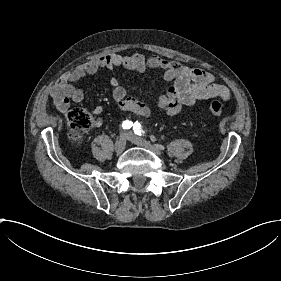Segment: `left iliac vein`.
<instances>
[{"instance_id": "left-iliac-vein-1", "label": "left iliac vein", "mask_w": 281, "mask_h": 281, "mask_svg": "<svg viewBox=\"0 0 281 281\" xmlns=\"http://www.w3.org/2000/svg\"><path fill=\"white\" fill-rule=\"evenodd\" d=\"M123 139L130 141L131 143H135L137 146H145L147 149L154 151V153L159 154V148L155 147V145H150L148 141L141 140L139 137L135 136L131 132H127L123 134Z\"/></svg>"}]
</instances>
